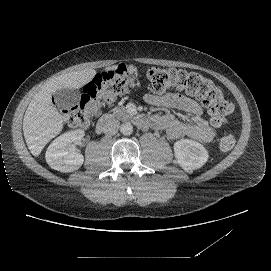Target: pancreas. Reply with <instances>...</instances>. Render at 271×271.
Masks as SVG:
<instances>
[{
    "label": "pancreas",
    "mask_w": 271,
    "mask_h": 271,
    "mask_svg": "<svg viewBox=\"0 0 271 271\" xmlns=\"http://www.w3.org/2000/svg\"><path fill=\"white\" fill-rule=\"evenodd\" d=\"M113 115L114 116H118V117H126L127 116V112L126 110L123 108V107H116L114 110H113ZM102 121V119H101Z\"/></svg>",
    "instance_id": "pancreas-1"
}]
</instances>
